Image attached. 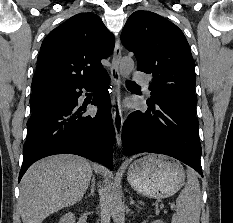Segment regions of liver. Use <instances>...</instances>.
<instances>
[{
  "label": "liver",
  "instance_id": "6515ba94",
  "mask_svg": "<svg viewBox=\"0 0 233 223\" xmlns=\"http://www.w3.org/2000/svg\"><path fill=\"white\" fill-rule=\"evenodd\" d=\"M91 175L90 161L79 155H51L33 163L21 181L23 223H42L50 213L80 201Z\"/></svg>",
  "mask_w": 233,
  "mask_h": 223
}]
</instances>
